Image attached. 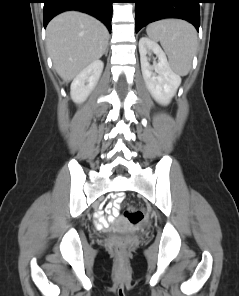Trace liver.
Returning a JSON list of instances; mask_svg holds the SVG:
<instances>
[{"mask_svg":"<svg viewBox=\"0 0 239 296\" xmlns=\"http://www.w3.org/2000/svg\"><path fill=\"white\" fill-rule=\"evenodd\" d=\"M46 38L55 70L69 82L105 53L109 33L94 17L68 11L50 21Z\"/></svg>","mask_w":239,"mask_h":296,"instance_id":"liver-1","label":"liver"}]
</instances>
